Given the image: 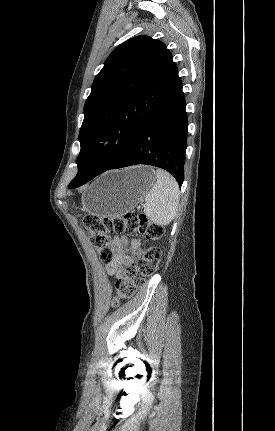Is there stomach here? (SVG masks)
<instances>
[{
	"mask_svg": "<svg viewBox=\"0 0 275 431\" xmlns=\"http://www.w3.org/2000/svg\"><path fill=\"white\" fill-rule=\"evenodd\" d=\"M155 179L154 169L144 165L109 171L82 195L83 210L102 217L122 216L143 200Z\"/></svg>",
	"mask_w": 275,
	"mask_h": 431,
	"instance_id": "0dacf381",
	"label": "stomach"
}]
</instances>
